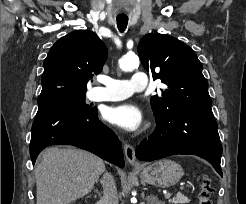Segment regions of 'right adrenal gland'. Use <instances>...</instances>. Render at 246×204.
Masks as SVG:
<instances>
[{"instance_id":"2a0ac1e0","label":"right adrenal gland","mask_w":246,"mask_h":204,"mask_svg":"<svg viewBox=\"0 0 246 204\" xmlns=\"http://www.w3.org/2000/svg\"><path fill=\"white\" fill-rule=\"evenodd\" d=\"M95 192L101 197L102 193L98 189H95Z\"/></svg>"}]
</instances>
